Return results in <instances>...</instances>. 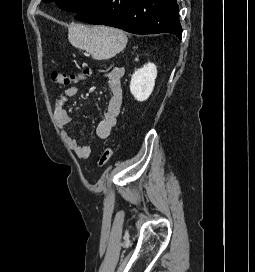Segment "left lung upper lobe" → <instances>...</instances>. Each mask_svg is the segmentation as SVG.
I'll return each mask as SVG.
<instances>
[{"label": "left lung upper lobe", "mask_w": 255, "mask_h": 272, "mask_svg": "<svg viewBox=\"0 0 255 272\" xmlns=\"http://www.w3.org/2000/svg\"><path fill=\"white\" fill-rule=\"evenodd\" d=\"M51 2L56 0H43ZM97 0H57V4L64 10L79 13L91 7Z\"/></svg>", "instance_id": "1"}]
</instances>
